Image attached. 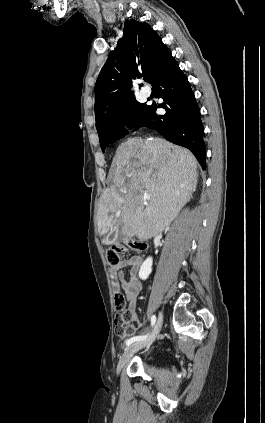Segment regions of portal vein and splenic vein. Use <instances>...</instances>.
I'll return each instance as SVG.
<instances>
[{
    "instance_id": "obj_1",
    "label": "portal vein and splenic vein",
    "mask_w": 265,
    "mask_h": 423,
    "mask_svg": "<svg viewBox=\"0 0 265 423\" xmlns=\"http://www.w3.org/2000/svg\"><path fill=\"white\" fill-rule=\"evenodd\" d=\"M145 198H146L147 200H149V199H150V196H149L148 194H146V195H145Z\"/></svg>"
}]
</instances>
